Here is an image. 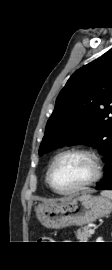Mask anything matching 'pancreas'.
Segmentation results:
<instances>
[{"mask_svg": "<svg viewBox=\"0 0 112 270\" xmlns=\"http://www.w3.org/2000/svg\"><path fill=\"white\" fill-rule=\"evenodd\" d=\"M76 237L79 239V242H88V239L91 237L87 227H83L76 231Z\"/></svg>", "mask_w": 112, "mask_h": 270, "instance_id": "1", "label": "pancreas"}]
</instances>
